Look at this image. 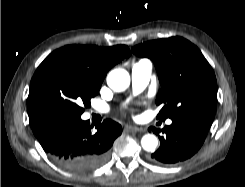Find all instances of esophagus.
Masks as SVG:
<instances>
[{
	"label": "esophagus",
	"instance_id": "obj_1",
	"mask_svg": "<svg viewBox=\"0 0 245 187\" xmlns=\"http://www.w3.org/2000/svg\"><path fill=\"white\" fill-rule=\"evenodd\" d=\"M125 130H126V131H129V132L137 133V132L143 131V128H141V127H136V126H126V127H125Z\"/></svg>",
	"mask_w": 245,
	"mask_h": 187
}]
</instances>
